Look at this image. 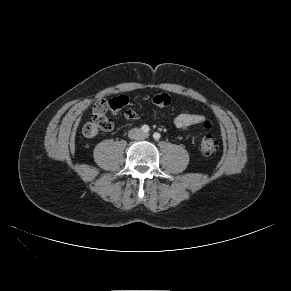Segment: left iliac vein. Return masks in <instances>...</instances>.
I'll use <instances>...</instances> for the list:
<instances>
[{
  "instance_id": "obj_1",
  "label": "left iliac vein",
  "mask_w": 291,
  "mask_h": 291,
  "mask_svg": "<svg viewBox=\"0 0 291 291\" xmlns=\"http://www.w3.org/2000/svg\"><path fill=\"white\" fill-rule=\"evenodd\" d=\"M149 137V134L148 133H144V134H142V138L143 139H146V138H148Z\"/></svg>"
}]
</instances>
